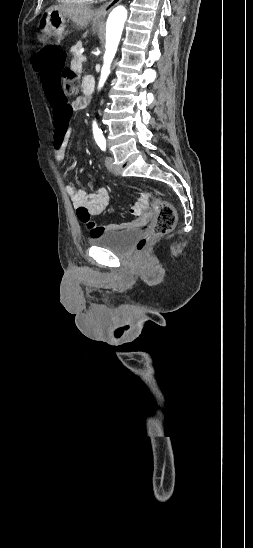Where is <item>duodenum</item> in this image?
Masks as SVG:
<instances>
[{
	"label": "duodenum",
	"mask_w": 253,
	"mask_h": 548,
	"mask_svg": "<svg viewBox=\"0 0 253 548\" xmlns=\"http://www.w3.org/2000/svg\"><path fill=\"white\" fill-rule=\"evenodd\" d=\"M94 90V81L91 78H88L83 87V92L86 97H90V95L93 93Z\"/></svg>",
	"instance_id": "obj_1"
}]
</instances>
